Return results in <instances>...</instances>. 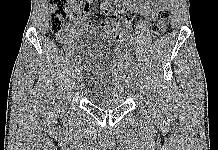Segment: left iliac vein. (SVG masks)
I'll return each instance as SVG.
<instances>
[{
  "mask_svg": "<svg viewBox=\"0 0 218 150\" xmlns=\"http://www.w3.org/2000/svg\"><path fill=\"white\" fill-rule=\"evenodd\" d=\"M132 80H133V82L131 83L133 86L135 85V84H137L138 83V80L140 79L138 76H133L132 78H131Z\"/></svg>",
  "mask_w": 218,
  "mask_h": 150,
  "instance_id": "4c4485c4",
  "label": "left iliac vein"
}]
</instances>
